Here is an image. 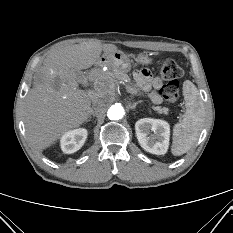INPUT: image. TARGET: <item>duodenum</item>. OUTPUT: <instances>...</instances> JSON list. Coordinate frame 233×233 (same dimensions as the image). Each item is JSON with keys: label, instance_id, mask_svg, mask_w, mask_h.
I'll return each mask as SVG.
<instances>
[{"label": "duodenum", "instance_id": "410a0bca", "mask_svg": "<svg viewBox=\"0 0 233 233\" xmlns=\"http://www.w3.org/2000/svg\"><path fill=\"white\" fill-rule=\"evenodd\" d=\"M102 63H103L102 60H98L96 64H97L98 66H100Z\"/></svg>", "mask_w": 233, "mask_h": 233}]
</instances>
